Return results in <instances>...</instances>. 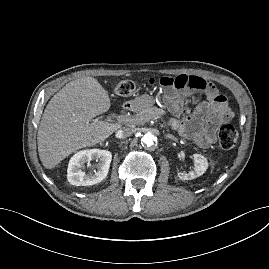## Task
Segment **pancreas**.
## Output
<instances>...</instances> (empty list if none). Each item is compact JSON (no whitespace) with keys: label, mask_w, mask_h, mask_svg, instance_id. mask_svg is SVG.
<instances>
[{"label":"pancreas","mask_w":269,"mask_h":269,"mask_svg":"<svg viewBox=\"0 0 269 269\" xmlns=\"http://www.w3.org/2000/svg\"><path fill=\"white\" fill-rule=\"evenodd\" d=\"M165 114V111L156 107H147L141 109L137 114L132 116L134 119L133 122L129 123L130 125H142L145 122L149 121L154 117H162Z\"/></svg>","instance_id":"pancreas-1"}]
</instances>
